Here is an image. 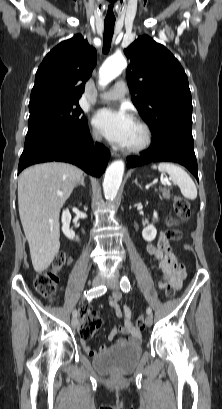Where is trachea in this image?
I'll return each instance as SVG.
<instances>
[{
    "label": "trachea",
    "mask_w": 222,
    "mask_h": 409,
    "mask_svg": "<svg viewBox=\"0 0 222 409\" xmlns=\"http://www.w3.org/2000/svg\"><path fill=\"white\" fill-rule=\"evenodd\" d=\"M115 20L104 21V36H103V53H107L111 47V41L114 33Z\"/></svg>",
    "instance_id": "1"
}]
</instances>
